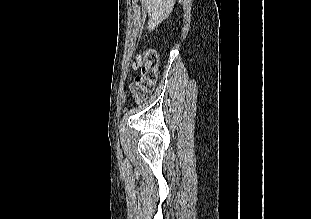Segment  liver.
<instances>
[{"label":"liver","instance_id":"liver-1","mask_svg":"<svg viewBox=\"0 0 311 219\" xmlns=\"http://www.w3.org/2000/svg\"><path fill=\"white\" fill-rule=\"evenodd\" d=\"M141 2L149 15L147 25L149 31H153L162 21L169 17L175 4V0H142Z\"/></svg>","mask_w":311,"mask_h":219}]
</instances>
